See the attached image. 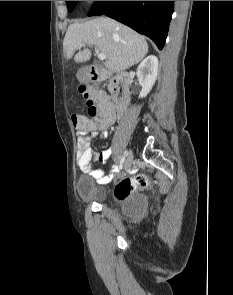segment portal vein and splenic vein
<instances>
[{
    "label": "portal vein and splenic vein",
    "mask_w": 233,
    "mask_h": 295,
    "mask_svg": "<svg viewBox=\"0 0 233 295\" xmlns=\"http://www.w3.org/2000/svg\"><path fill=\"white\" fill-rule=\"evenodd\" d=\"M80 46H84V43H81ZM95 52L99 60H106L107 56L104 53H100L99 50L95 47Z\"/></svg>",
    "instance_id": "obj_1"
}]
</instances>
